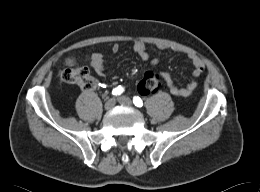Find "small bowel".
<instances>
[{
  "label": "small bowel",
  "mask_w": 260,
  "mask_h": 192,
  "mask_svg": "<svg viewBox=\"0 0 260 192\" xmlns=\"http://www.w3.org/2000/svg\"><path fill=\"white\" fill-rule=\"evenodd\" d=\"M120 50V46L117 43L112 44L111 51L113 53H117ZM134 52L140 57L142 61L149 62L151 65H156L159 60L156 58H151L146 50V45L142 41H136L133 45ZM191 63L193 65L192 69V76L198 77L203 73L205 70V64L204 62L197 56L191 55L190 57ZM90 65L94 69V71L100 75L103 76L105 74V67L103 65V54L98 52L94 53L90 59ZM154 75V73H147L145 77L140 81L138 84V90L141 94H149L151 91V86L149 84V80ZM167 87L169 88V91L172 95L177 97H188L192 95L195 90L198 88V82L197 81H191L187 85L183 87L177 86L171 75L167 72H162L159 75Z\"/></svg>",
  "instance_id": "obj_1"
}]
</instances>
